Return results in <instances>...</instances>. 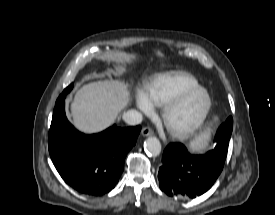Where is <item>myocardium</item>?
<instances>
[{
	"label": "myocardium",
	"mask_w": 275,
	"mask_h": 215,
	"mask_svg": "<svg viewBox=\"0 0 275 215\" xmlns=\"http://www.w3.org/2000/svg\"><path fill=\"white\" fill-rule=\"evenodd\" d=\"M196 93H202L205 96V104L201 115L191 126L187 128H177L171 122L172 113L191 95ZM212 108V98L208 90L202 86H195L186 89L171 99L165 106L163 111V120L165 126L172 136L179 139H187L197 133L206 122L210 110Z\"/></svg>",
	"instance_id": "obj_1"
}]
</instances>
